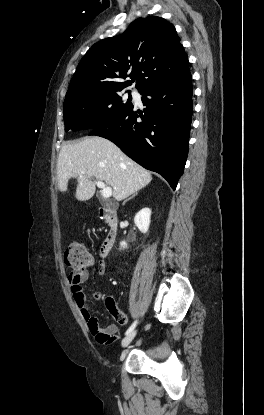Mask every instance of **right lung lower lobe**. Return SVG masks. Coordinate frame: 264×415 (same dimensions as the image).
<instances>
[{
	"label": "right lung lower lobe",
	"instance_id": "obj_1",
	"mask_svg": "<svg viewBox=\"0 0 264 415\" xmlns=\"http://www.w3.org/2000/svg\"><path fill=\"white\" fill-rule=\"evenodd\" d=\"M192 78L151 85L140 94L144 115L132 107L89 135L111 140L144 168L161 174L173 188L184 172L192 120ZM141 117V121L137 118Z\"/></svg>",
	"mask_w": 264,
	"mask_h": 415
}]
</instances>
